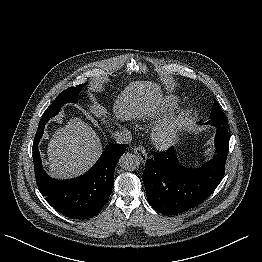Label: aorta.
Returning a JSON list of instances; mask_svg holds the SVG:
<instances>
[{
	"label": "aorta",
	"mask_w": 262,
	"mask_h": 262,
	"mask_svg": "<svg viewBox=\"0 0 262 262\" xmlns=\"http://www.w3.org/2000/svg\"><path fill=\"white\" fill-rule=\"evenodd\" d=\"M139 159L132 153H125L119 160V165L128 171L136 170L139 167Z\"/></svg>",
	"instance_id": "aorta-1"
}]
</instances>
